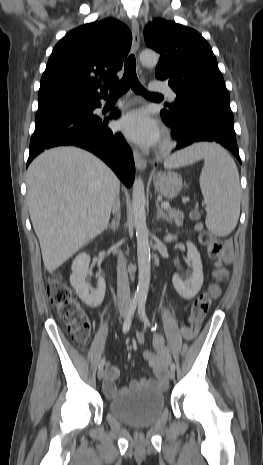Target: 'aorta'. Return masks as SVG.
Listing matches in <instances>:
<instances>
[{"label":"aorta","instance_id":"1","mask_svg":"<svg viewBox=\"0 0 263 465\" xmlns=\"http://www.w3.org/2000/svg\"><path fill=\"white\" fill-rule=\"evenodd\" d=\"M159 61V55L151 50H146L140 54V62L147 67H154ZM146 197L144 183L141 177L135 179L132 193V208L137 239L138 258V285L134 295V302L145 303L150 284V245L149 230L146 224L145 211Z\"/></svg>","mask_w":263,"mask_h":465}]
</instances>
